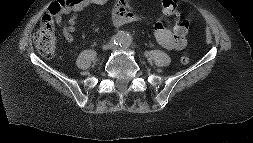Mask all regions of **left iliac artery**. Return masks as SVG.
Segmentation results:
<instances>
[{
    "label": "left iliac artery",
    "mask_w": 253,
    "mask_h": 143,
    "mask_svg": "<svg viewBox=\"0 0 253 143\" xmlns=\"http://www.w3.org/2000/svg\"><path fill=\"white\" fill-rule=\"evenodd\" d=\"M132 43V38L127 35V37L123 40L121 47H128Z\"/></svg>",
    "instance_id": "44dca946"
}]
</instances>
